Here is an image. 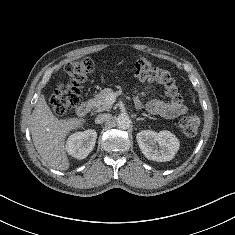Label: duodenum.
<instances>
[{"label":"duodenum","instance_id":"obj_1","mask_svg":"<svg viewBox=\"0 0 235 235\" xmlns=\"http://www.w3.org/2000/svg\"><path fill=\"white\" fill-rule=\"evenodd\" d=\"M91 109V104L88 101H84L79 104L76 109V113L78 116L83 117L89 113Z\"/></svg>","mask_w":235,"mask_h":235}]
</instances>
